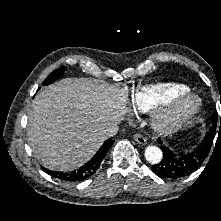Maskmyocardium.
Segmentation results:
<instances>
[{"label": "myocardium", "instance_id": "obj_1", "mask_svg": "<svg viewBox=\"0 0 221 221\" xmlns=\"http://www.w3.org/2000/svg\"><path fill=\"white\" fill-rule=\"evenodd\" d=\"M201 105V99L193 94L165 99L151 111V126L160 134L175 133L194 118Z\"/></svg>", "mask_w": 221, "mask_h": 221}]
</instances>
